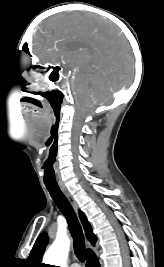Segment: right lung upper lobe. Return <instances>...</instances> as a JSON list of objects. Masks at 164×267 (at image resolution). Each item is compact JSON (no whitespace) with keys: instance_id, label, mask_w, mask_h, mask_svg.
<instances>
[{"instance_id":"right-lung-upper-lobe-1","label":"right lung upper lobe","mask_w":164,"mask_h":267,"mask_svg":"<svg viewBox=\"0 0 164 267\" xmlns=\"http://www.w3.org/2000/svg\"><path fill=\"white\" fill-rule=\"evenodd\" d=\"M79 215H80V219L84 225L87 239L94 246L97 238L94 235V233L92 232L91 225L87 221L86 216L81 211H79ZM47 244H48V235L46 232H44V233L40 234L38 236V238L36 239V242L32 248V251H31V253L27 259L30 267H42L41 259H42V256H43V253H44V250H45ZM90 253H93V251L91 249H87V255Z\"/></svg>"}]
</instances>
